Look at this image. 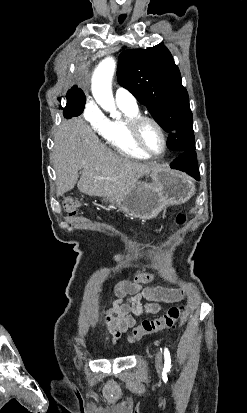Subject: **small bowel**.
<instances>
[{
    "instance_id": "c3829d8e",
    "label": "small bowel",
    "mask_w": 247,
    "mask_h": 413,
    "mask_svg": "<svg viewBox=\"0 0 247 413\" xmlns=\"http://www.w3.org/2000/svg\"><path fill=\"white\" fill-rule=\"evenodd\" d=\"M117 299L103 313V325L116 342L129 329L135 326L136 316L156 314L161 311V303H176L184 299L180 289L155 287L138 289L137 282H118L114 286ZM143 301H147L143 304Z\"/></svg>"
}]
</instances>
